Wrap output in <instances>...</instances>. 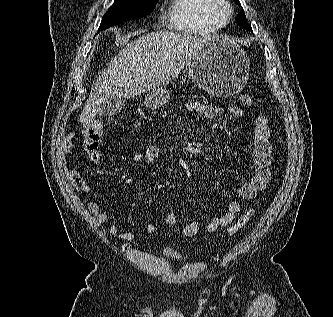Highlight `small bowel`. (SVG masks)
<instances>
[{
    "label": "small bowel",
    "mask_w": 333,
    "mask_h": 317,
    "mask_svg": "<svg viewBox=\"0 0 333 317\" xmlns=\"http://www.w3.org/2000/svg\"><path fill=\"white\" fill-rule=\"evenodd\" d=\"M185 108L189 111H195L206 118H214L220 113L222 109L217 106L206 105L197 101H191L185 104ZM228 111L236 116L242 117L243 111L237 106L229 107ZM253 160L249 169L252 171V177L249 182L242 184L238 188V195L243 200H252L257 194L268 186L271 181V172L269 167L272 164V145L270 142V128L268 119L264 115H258L254 120L253 127ZM74 140V135L67 137L64 147L69 149ZM161 148L158 145H150L142 152H135L131 156V160L135 163L151 164L160 156ZM99 154H93V160L97 162ZM67 176L74 187L79 193H88L90 187L83 180L80 173L73 169L68 168ZM88 209L94 216L95 220L99 223L105 222L106 213L96 202H89ZM242 205L238 201H230L226 204V212L223 215H215L210 222L206 225V231L212 233L219 228L228 226L241 211ZM164 223L173 227L176 225L177 220L173 214H167L163 217ZM201 229V224L198 221H192L182 227V234L187 237L196 235ZM145 231L148 234L156 232V226L148 223L145 226ZM111 236H115L122 241H131L134 239L135 234L131 231H121L117 224H112L108 228Z\"/></svg>",
    "instance_id": "1"
}]
</instances>
